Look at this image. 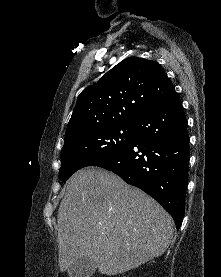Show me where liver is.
I'll list each match as a JSON object with an SVG mask.
<instances>
[{
    "instance_id": "obj_1",
    "label": "liver",
    "mask_w": 221,
    "mask_h": 277,
    "mask_svg": "<svg viewBox=\"0 0 221 277\" xmlns=\"http://www.w3.org/2000/svg\"><path fill=\"white\" fill-rule=\"evenodd\" d=\"M59 266L88 257L101 274L124 273L164 254L174 221L158 202L107 170L73 174L58 210Z\"/></svg>"
}]
</instances>
